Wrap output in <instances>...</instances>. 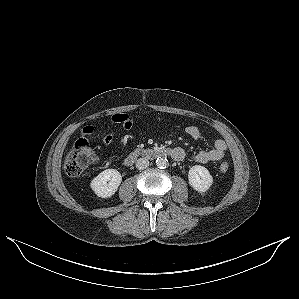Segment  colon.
Here are the masks:
<instances>
[{"instance_id": "obj_1", "label": "colon", "mask_w": 299, "mask_h": 299, "mask_svg": "<svg viewBox=\"0 0 299 299\" xmlns=\"http://www.w3.org/2000/svg\"><path fill=\"white\" fill-rule=\"evenodd\" d=\"M96 155L90 143L86 139H79L65 157L64 169L71 177L83 174L87 167L95 160ZM229 165L223 162L219 166L222 173L228 171Z\"/></svg>"}]
</instances>
